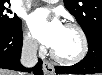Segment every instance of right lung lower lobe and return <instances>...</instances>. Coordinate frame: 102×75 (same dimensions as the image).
Segmentation results:
<instances>
[{"label":"right lung lower lobe","mask_w":102,"mask_h":75,"mask_svg":"<svg viewBox=\"0 0 102 75\" xmlns=\"http://www.w3.org/2000/svg\"><path fill=\"white\" fill-rule=\"evenodd\" d=\"M22 43V25L15 29H0V68L25 70L20 64ZM29 71H33L35 75H43L42 61L39 59L36 66Z\"/></svg>","instance_id":"obj_1"}]
</instances>
